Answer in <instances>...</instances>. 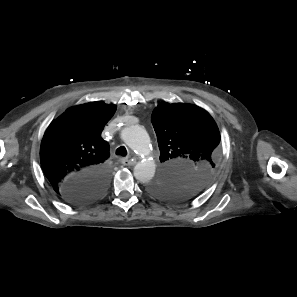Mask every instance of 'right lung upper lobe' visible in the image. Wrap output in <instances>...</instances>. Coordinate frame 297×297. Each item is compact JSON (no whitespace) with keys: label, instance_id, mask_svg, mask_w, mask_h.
<instances>
[{"label":"right lung upper lobe","instance_id":"cb5924a9","mask_svg":"<svg viewBox=\"0 0 297 297\" xmlns=\"http://www.w3.org/2000/svg\"><path fill=\"white\" fill-rule=\"evenodd\" d=\"M116 108L103 102L86 103L67 109L51 122L42 139L40 161L58 194L75 174L106 168L109 146L100 134Z\"/></svg>","mask_w":297,"mask_h":297}]
</instances>
